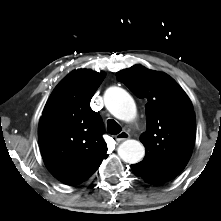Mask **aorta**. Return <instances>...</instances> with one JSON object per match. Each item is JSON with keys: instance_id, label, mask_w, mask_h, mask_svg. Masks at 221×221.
Segmentation results:
<instances>
[{"instance_id": "1", "label": "aorta", "mask_w": 221, "mask_h": 221, "mask_svg": "<svg viewBox=\"0 0 221 221\" xmlns=\"http://www.w3.org/2000/svg\"><path fill=\"white\" fill-rule=\"evenodd\" d=\"M104 102L109 112L119 120L131 121L136 116V105L131 95L120 87H110L104 94ZM118 154L129 164L140 162L145 155L142 143L126 140L120 144Z\"/></svg>"}]
</instances>
